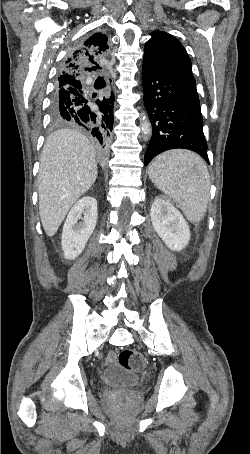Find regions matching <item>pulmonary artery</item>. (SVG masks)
Returning <instances> with one entry per match:
<instances>
[{
	"mask_svg": "<svg viewBox=\"0 0 250 454\" xmlns=\"http://www.w3.org/2000/svg\"><path fill=\"white\" fill-rule=\"evenodd\" d=\"M90 82H91V80L89 79V80L87 81V83H90Z\"/></svg>",
	"mask_w": 250,
	"mask_h": 454,
	"instance_id": "obj_1",
	"label": "pulmonary artery"
}]
</instances>
